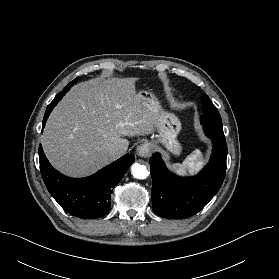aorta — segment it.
Here are the masks:
<instances>
[{
    "instance_id": "1",
    "label": "aorta",
    "mask_w": 279,
    "mask_h": 279,
    "mask_svg": "<svg viewBox=\"0 0 279 279\" xmlns=\"http://www.w3.org/2000/svg\"><path fill=\"white\" fill-rule=\"evenodd\" d=\"M131 169L133 176L137 179H145L149 175V172L144 165L134 163Z\"/></svg>"
}]
</instances>
